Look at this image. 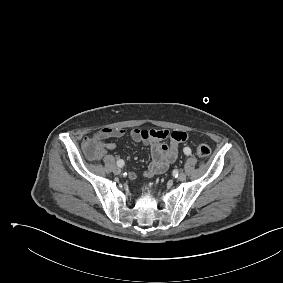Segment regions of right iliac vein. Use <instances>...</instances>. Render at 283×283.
<instances>
[{
    "label": "right iliac vein",
    "mask_w": 283,
    "mask_h": 283,
    "mask_svg": "<svg viewBox=\"0 0 283 283\" xmlns=\"http://www.w3.org/2000/svg\"><path fill=\"white\" fill-rule=\"evenodd\" d=\"M121 172H122V170H121L120 167H116V168L113 169V173L116 174V175H119Z\"/></svg>",
    "instance_id": "1"
}]
</instances>
